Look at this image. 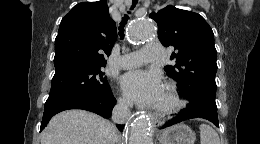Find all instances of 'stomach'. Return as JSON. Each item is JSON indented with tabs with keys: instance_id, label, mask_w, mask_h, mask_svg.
I'll return each instance as SVG.
<instances>
[{
	"instance_id": "0dacf381",
	"label": "stomach",
	"mask_w": 260,
	"mask_h": 144,
	"mask_svg": "<svg viewBox=\"0 0 260 144\" xmlns=\"http://www.w3.org/2000/svg\"><path fill=\"white\" fill-rule=\"evenodd\" d=\"M195 139V133L183 123L163 130L159 136L160 144H194Z\"/></svg>"
}]
</instances>
